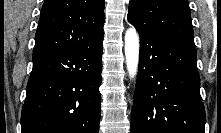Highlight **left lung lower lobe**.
I'll use <instances>...</instances> for the list:
<instances>
[{
    "instance_id": "0a47b994",
    "label": "left lung lower lobe",
    "mask_w": 221,
    "mask_h": 133,
    "mask_svg": "<svg viewBox=\"0 0 221 133\" xmlns=\"http://www.w3.org/2000/svg\"><path fill=\"white\" fill-rule=\"evenodd\" d=\"M139 36L131 133H204L194 44L154 34Z\"/></svg>"
}]
</instances>
